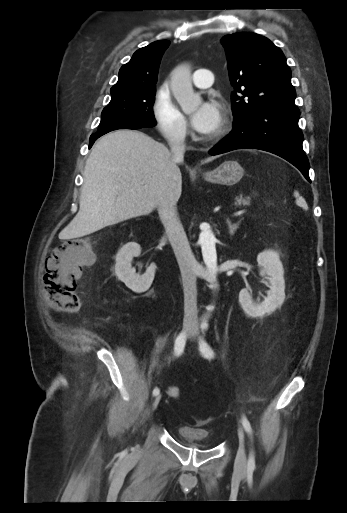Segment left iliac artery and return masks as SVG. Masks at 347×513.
I'll return each instance as SVG.
<instances>
[{
  "label": "left iliac artery",
  "mask_w": 347,
  "mask_h": 513,
  "mask_svg": "<svg viewBox=\"0 0 347 513\" xmlns=\"http://www.w3.org/2000/svg\"><path fill=\"white\" fill-rule=\"evenodd\" d=\"M201 327H202V329H207L208 324L206 322H204V323H202ZM200 351H201L202 355L205 358L211 359V358L214 357L213 349L203 339L200 342ZM242 425H243L245 431L251 437L252 436V428H251L250 422L248 421V419L244 415L242 416ZM248 468L251 469V470H253L255 468V456H254L253 449L250 451V454H249Z\"/></svg>",
  "instance_id": "44dca946"
}]
</instances>
